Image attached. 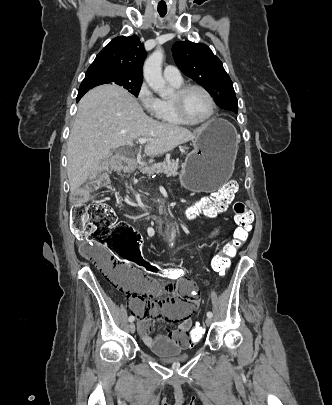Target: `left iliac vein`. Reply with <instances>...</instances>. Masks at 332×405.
Here are the masks:
<instances>
[{
    "mask_svg": "<svg viewBox=\"0 0 332 405\" xmlns=\"http://www.w3.org/2000/svg\"><path fill=\"white\" fill-rule=\"evenodd\" d=\"M205 323L207 326H210L212 324V319L211 318H206Z\"/></svg>",
    "mask_w": 332,
    "mask_h": 405,
    "instance_id": "4c4485c4",
    "label": "left iliac vein"
}]
</instances>
